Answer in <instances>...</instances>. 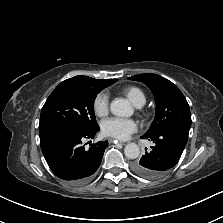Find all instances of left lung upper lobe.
I'll return each mask as SVG.
<instances>
[{"mask_svg":"<svg viewBox=\"0 0 223 223\" xmlns=\"http://www.w3.org/2000/svg\"><path fill=\"white\" fill-rule=\"evenodd\" d=\"M128 79L146 84L156 101V116L145 135L153 136L171 128L189 133L191 126L189 105L175 84L153 73L139 74Z\"/></svg>","mask_w":223,"mask_h":223,"instance_id":"5c2ea615","label":"left lung upper lobe"}]
</instances>
